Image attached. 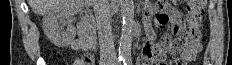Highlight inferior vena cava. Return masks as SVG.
<instances>
[{
    "mask_svg": "<svg viewBox=\"0 0 232 65\" xmlns=\"http://www.w3.org/2000/svg\"><path fill=\"white\" fill-rule=\"evenodd\" d=\"M96 17L101 59L115 61L116 53L110 24V5L108 0H92Z\"/></svg>",
    "mask_w": 232,
    "mask_h": 65,
    "instance_id": "obj_1",
    "label": "inferior vena cava"
}]
</instances>
